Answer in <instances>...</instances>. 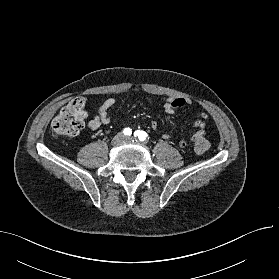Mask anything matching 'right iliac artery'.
Segmentation results:
<instances>
[{
	"label": "right iliac artery",
	"mask_w": 279,
	"mask_h": 279,
	"mask_svg": "<svg viewBox=\"0 0 279 279\" xmlns=\"http://www.w3.org/2000/svg\"><path fill=\"white\" fill-rule=\"evenodd\" d=\"M123 133H124V135L129 136V135H131L132 130H131L130 128H125V129L123 130Z\"/></svg>",
	"instance_id": "right-iliac-artery-1"
}]
</instances>
